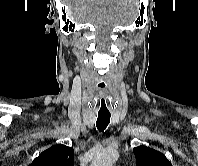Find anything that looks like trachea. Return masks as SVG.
I'll use <instances>...</instances> for the list:
<instances>
[{
  "label": "trachea",
  "mask_w": 198,
  "mask_h": 166,
  "mask_svg": "<svg viewBox=\"0 0 198 166\" xmlns=\"http://www.w3.org/2000/svg\"><path fill=\"white\" fill-rule=\"evenodd\" d=\"M110 117L111 115L109 113H98L96 127L100 132L107 128L108 124L110 123Z\"/></svg>",
  "instance_id": "obj_1"
}]
</instances>
